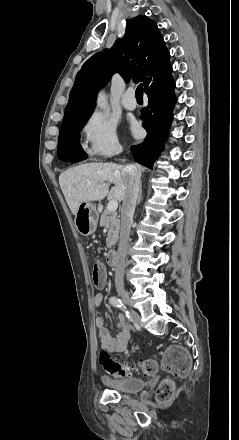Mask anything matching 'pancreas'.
Instances as JSON below:
<instances>
[{
  "label": "pancreas",
  "mask_w": 239,
  "mask_h": 440,
  "mask_svg": "<svg viewBox=\"0 0 239 440\" xmlns=\"http://www.w3.org/2000/svg\"><path fill=\"white\" fill-rule=\"evenodd\" d=\"M100 226H105L108 230L106 238L107 248H112L118 242L119 230H120V220L117 216V212H109V210H104L102 212Z\"/></svg>",
  "instance_id": "obj_1"
}]
</instances>
